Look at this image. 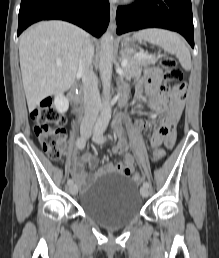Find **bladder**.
Returning a JSON list of instances; mask_svg holds the SVG:
<instances>
[{
    "mask_svg": "<svg viewBox=\"0 0 219 258\" xmlns=\"http://www.w3.org/2000/svg\"><path fill=\"white\" fill-rule=\"evenodd\" d=\"M80 209L107 227H122L139 216L143 201L136 185L124 174L107 171L80 195Z\"/></svg>",
    "mask_w": 219,
    "mask_h": 258,
    "instance_id": "31cf9c89",
    "label": "bladder"
}]
</instances>
